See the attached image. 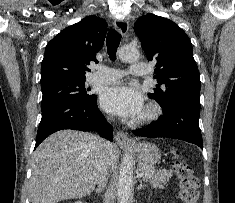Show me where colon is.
<instances>
[{"mask_svg":"<svg viewBox=\"0 0 235 203\" xmlns=\"http://www.w3.org/2000/svg\"><path fill=\"white\" fill-rule=\"evenodd\" d=\"M173 170L179 180L180 199L183 203H198L199 181L192 167L179 156L174 157Z\"/></svg>","mask_w":235,"mask_h":203,"instance_id":"colon-1","label":"colon"}]
</instances>
